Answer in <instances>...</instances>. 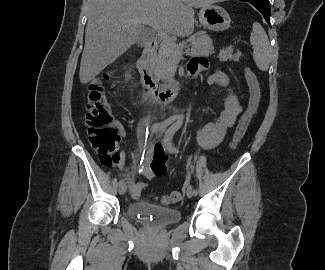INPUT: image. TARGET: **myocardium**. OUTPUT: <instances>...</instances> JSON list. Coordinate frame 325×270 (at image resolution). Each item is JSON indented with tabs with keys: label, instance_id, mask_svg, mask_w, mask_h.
<instances>
[{
	"label": "myocardium",
	"instance_id": "obj_1",
	"mask_svg": "<svg viewBox=\"0 0 325 270\" xmlns=\"http://www.w3.org/2000/svg\"><path fill=\"white\" fill-rule=\"evenodd\" d=\"M211 1L219 2V1H224V0H211Z\"/></svg>",
	"mask_w": 325,
	"mask_h": 270
}]
</instances>
